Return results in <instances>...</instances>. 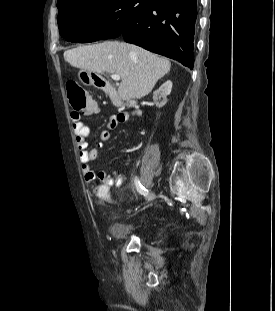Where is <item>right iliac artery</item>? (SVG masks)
<instances>
[{"mask_svg": "<svg viewBox=\"0 0 275 311\" xmlns=\"http://www.w3.org/2000/svg\"><path fill=\"white\" fill-rule=\"evenodd\" d=\"M134 184H135V187H136L137 191L141 195H144L145 197H147L149 195V191L142 186V184L140 183L138 177H135Z\"/></svg>", "mask_w": 275, "mask_h": 311, "instance_id": "right-iliac-artery-1", "label": "right iliac artery"}]
</instances>
